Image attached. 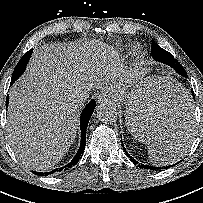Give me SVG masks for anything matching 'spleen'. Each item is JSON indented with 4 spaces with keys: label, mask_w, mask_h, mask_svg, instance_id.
I'll list each match as a JSON object with an SVG mask.
<instances>
[{
    "label": "spleen",
    "mask_w": 203,
    "mask_h": 203,
    "mask_svg": "<svg viewBox=\"0 0 203 203\" xmlns=\"http://www.w3.org/2000/svg\"><path fill=\"white\" fill-rule=\"evenodd\" d=\"M191 106L188 92L175 80L160 78L149 84L136 108V111L142 113L145 111L144 115L132 116L131 120L126 123L133 136L141 143L148 145V157L152 163L168 165L178 161L188 151L190 134H187L188 137L184 140L187 142L184 147L174 143L171 139L157 144L147 135L146 130L154 127L152 133L156 132L155 124L165 112L172 111L181 115L185 110L191 114ZM188 114L187 116L190 117ZM154 116H157L156 119ZM145 135L148 139H145Z\"/></svg>",
    "instance_id": "3e777b00"
}]
</instances>
